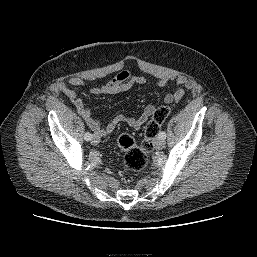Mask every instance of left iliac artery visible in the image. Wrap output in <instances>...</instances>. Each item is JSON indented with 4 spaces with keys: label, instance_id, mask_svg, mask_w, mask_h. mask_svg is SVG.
I'll list each match as a JSON object with an SVG mask.
<instances>
[{
    "label": "left iliac artery",
    "instance_id": "left-iliac-artery-1",
    "mask_svg": "<svg viewBox=\"0 0 257 257\" xmlns=\"http://www.w3.org/2000/svg\"><path fill=\"white\" fill-rule=\"evenodd\" d=\"M158 136H159V138H161V139H166V133L165 132H159V134H158Z\"/></svg>",
    "mask_w": 257,
    "mask_h": 257
}]
</instances>
